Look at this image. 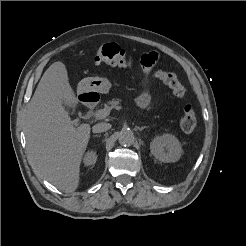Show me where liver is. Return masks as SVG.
Returning a JSON list of instances; mask_svg holds the SVG:
<instances>
[{"instance_id": "6515ba94", "label": "liver", "mask_w": 246, "mask_h": 246, "mask_svg": "<svg viewBox=\"0 0 246 246\" xmlns=\"http://www.w3.org/2000/svg\"><path fill=\"white\" fill-rule=\"evenodd\" d=\"M78 99L64 63L54 62L43 74L28 105L25 125L27 152L35 171L59 190L73 192L90 138V125L74 126L63 104Z\"/></svg>"}]
</instances>
